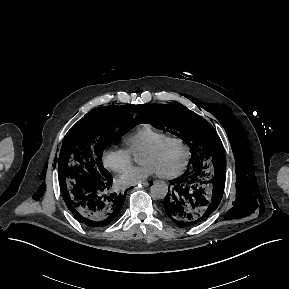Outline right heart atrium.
<instances>
[{"label": "right heart atrium", "instance_id": "obj_1", "mask_svg": "<svg viewBox=\"0 0 289 289\" xmlns=\"http://www.w3.org/2000/svg\"><path fill=\"white\" fill-rule=\"evenodd\" d=\"M101 160L107 169L118 173L131 165L132 153L124 147L109 146L102 151Z\"/></svg>", "mask_w": 289, "mask_h": 289}]
</instances>
